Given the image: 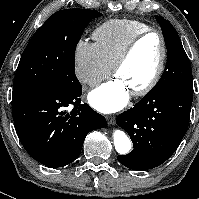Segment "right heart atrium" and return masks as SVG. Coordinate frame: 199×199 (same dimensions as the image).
<instances>
[{"label": "right heart atrium", "instance_id": "1", "mask_svg": "<svg viewBox=\"0 0 199 199\" xmlns=\"http://www.w3.org/2000/svg\"><path fill=\"white\" fill-rule=\"evenodd\" d=\"M74 69L78 81L94 87L111 73V65L93 42L79 40L74 51Z\"/></svg>", "mask_w": 199, "mask_h": 199}]
</instances>
